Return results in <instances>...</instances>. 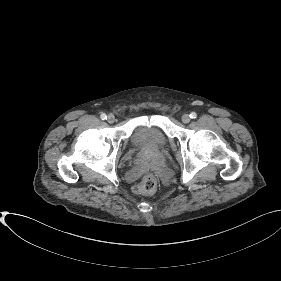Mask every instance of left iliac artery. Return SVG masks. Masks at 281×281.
Instances as JSON below:
<instances>
[{
    "label": "left iliac artery",
    "instance_id": "obj_1",
    "mask_svg": "<svg viewBox=\"0 0 281 281\" xmlns=\"http://www.w3.org/2000/svg\"><path fill=\"white\" fill-rule=\"evenodd\" d=\"M197 117V114L195 112H192L190 114V118L195 119Z\"/></svg>",
    "mask_w": 281,
    "mask_h": 281
}]
</instances>
